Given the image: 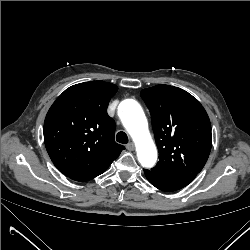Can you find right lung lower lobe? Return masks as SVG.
Returning <instances> with one entry per match:
<instances>
[{
	"label": "right lung lower lobe",
	"mask_w": 250,
	"mask_h": 250,
	"mask_svg": "<svg viewBox=\"0 0 250 250\" xmlns=\"http://www.w3.org/2000/svg\"><path fill=\"white\" fill-rule=\"evenodd\" d=\"M105 170H103L101 172H98V173H95V174H90V175H87V176H79V177L74 178L73 180L81 181V182L88 181V180H91V179L95 178L96 176L102 174Z\"/></svg>",
	"instance_id": "1"
}]
</instances>
